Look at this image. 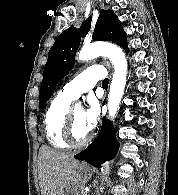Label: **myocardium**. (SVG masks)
I'll list each match as a JSON object with an SVG mask.
<instances>
[{
    "label": "myocardium",
    "instance_id": "1",
    "mask_svg": "<svg viewBox=\"0 0 178 195\" xmlns=\"http://www.w3.org/2000/svg\"><path fill=\"white\" fill-rule=\"evenodd\" d=\"M62 137H63L64 141L69 145V147L82 148V147H85L87 144H89V142L92 140L93 136H92V134H89V136L81 142H77L74 139V136H73V110L70 109L66 115V118H65Z\"/></svg>",
    "mask_w": 178,
    "mask_h": 195
}]
</instances>
